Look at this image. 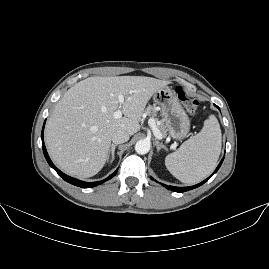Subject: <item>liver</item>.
<instances>
[{
  "mask_svg": "<svg viewBox=\"0 0 269 269\" xmlns=\"http://www.w3.org/2000/svg\"><path fill=\"white\" fill-rule=\"evenodd\" d=\"M170 81L145 76H92L69 88L45 128L47 148L67 174L88 178L109 159L111 137L118 130L133 136L152 96ZM123 116L115 118L119 97Z\"/></svg>",
  "mask_w": 269,
  "mask_h": 269,
  "instance_id": "1",
  "label": "liver"
}]
</instances>
